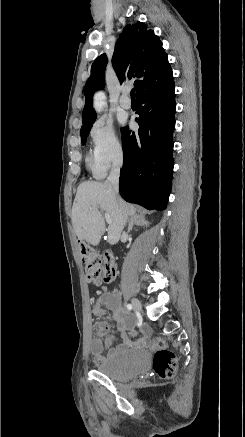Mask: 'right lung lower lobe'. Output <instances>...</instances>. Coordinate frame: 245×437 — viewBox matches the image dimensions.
Here are the masks:
<instances>
[{
	"mask_svg": "<svg viewBox=\"0 0 245 437\" xmlns=\"http://www.w3.org/2000/svg\"><path fill=\"white\" fill-rule=\"evenodd\" d=\"M138 132L122 128L120 194L149 210H165L173 173L174 81L136 96Z\"/></svg>",
	"mask_w": 245,
	"mask_h": 437,
	"instance_id": "98d812e1",
	"label": "right lung lower lobe"
}]
</instances>
